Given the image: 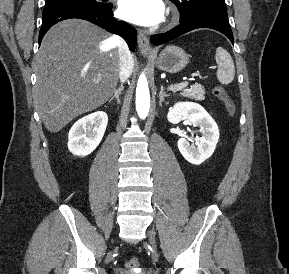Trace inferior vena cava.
Segmentation results:
<instances>
[{
  "instance_id": "1",
  "label": "inferior vena cava",
  "mask_w": 289,
  "mask_h": 274,
  "mask_svg": "<svg viewBox=\"0 0 289 274\" xmlns=\"http://www.w3.org/2000/svg\"><path fill=\"white\" fill-rule=\"evenodd\" d=\"M112 41L118 45L120 58L119 78L121 82H125L132 73L134 61L127 44L122 39L117 36H113Z\"/></svg>"
}]
</instances>
